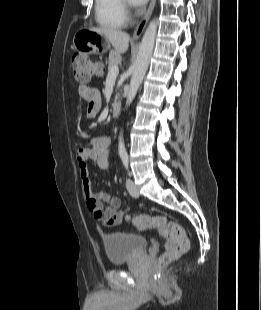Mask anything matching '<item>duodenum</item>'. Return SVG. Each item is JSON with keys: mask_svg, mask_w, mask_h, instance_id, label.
I'll use <instances>...</instances> for the list:
<instances>
[{"mask_svg": "<svg viewBox=\"0 0 261 310\" xmlns=\"http://www.w3.org/2000/svg\"><path fill=\"white\" fill-rule=\"evenodd\" d=\"M120 111H121V105L119 103H115L111 111L112 117L117 118L120 114Z\"/></svg>", "mask_w": 261, "mask_h": 310, "instance_id": "duodenum-1", "label": "duodenum"}]
</instances>
